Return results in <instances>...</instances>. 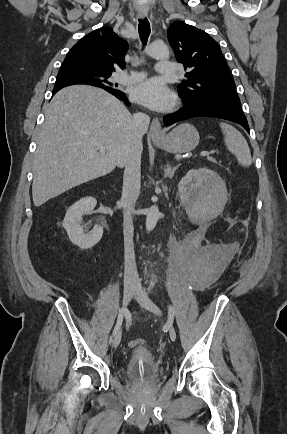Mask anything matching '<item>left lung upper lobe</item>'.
<instances>
[{
	"instance_id": "1",
	"label": "left lung upper lobe",
	"mask_w": 287,
	"mask_h": 434,
	"mask_svg": "<svg viewBox=\"0 0 287 434\" xmlns=\"http://www.w3.org/2000/svg\"><path fill=\"white\" fill-rule=\"evenodd\" d=\"M168 41L187 80L178 85L185 101H240L217 42L206 32L176 21L167 31Z\"/></svg>"
}]
</instances>
